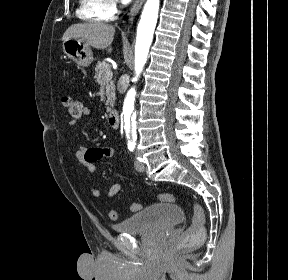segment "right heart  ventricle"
<instances>
[{
  "mask_svg": "<svg viewBox=\"0 0 288 280\" xmlns=\"http://www.w3.org/2000/svg\"><path fill=\"white\" fill-rule=\"evenodd\" d=\"M77 15L80 19L90 22L106 20L104 14V0H79Z\"/></svg>",
  "mask_w": 288,
  "mask_h": 280,
  "instance_id": "1",
  "label": "right heart ventricle"
}]
</instances>
